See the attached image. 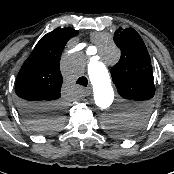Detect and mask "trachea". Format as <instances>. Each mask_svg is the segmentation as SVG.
I'll use <instances>...</instances> for the list:
<instances>
[{"label":"trachea","mask_w":174,"mask_h":174,"mask_svg":"<svg viewBox=\"0 0 174 174\" xmlns=\"http://www.w3.org/2000/svg\"><path fill=\"white\" fill-rule=\"evenodd\" d=\"M76 84L86 87L88 84V80L85 76H82V77L78 78V80L76 81Z\"/></svg>","instance_id":"trachea-1"}]
</instances>
